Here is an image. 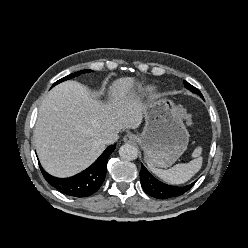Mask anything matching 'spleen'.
I'll return each instance as SVG.
<instances>
[{
	"instance_id": "obj_1",
	"label": "spleen",
	"mask_w": 248,
	"mask_h": 248,
	"mask_svg": "<svg viewBox=\"0 0 248 248\" xmlns=\"http://www.w3.org/2000/svg\"><path fill=\"white\" fill-rule=\"evenodd\" d=\"M201 153L202 147L199 146L192 153L194 157L193 160L185 164H176L168 170L158 169L149 163L147 164L150 170L165 182L177 185L183 184L190 180L201 169L203 161Z\"/></svg>"
}]
</instances>
